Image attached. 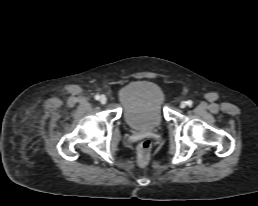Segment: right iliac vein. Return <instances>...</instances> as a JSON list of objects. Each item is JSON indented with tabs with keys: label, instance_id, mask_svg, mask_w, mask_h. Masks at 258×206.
<instances>
[{
	"label": "right iliac vein",
	"instance_id": "right-iliac-vein-1",
	"mask_svg": "<svg viewBox=\"0 0 258 206\" xmlns=\"http://www.w3.org/2000/svg\"><path fill=\"white\" fill-rule=\"evenodd\" d=\"M99 101L102 104H106L107 103V97L105 95H101Z\"/></svg>",
	"mask_w": 258,
	"mask_h": 206
}]
</instances>
